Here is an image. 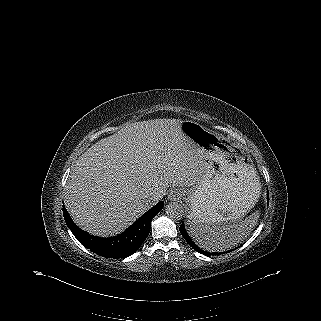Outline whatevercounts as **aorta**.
I'll use <instances>...</instances> for the list:
<instances>
[{"label":"aorta","mask_w":321,"mask_h":321,"mask_svg":"<svg viewBox=\"0 0 321 321\" xmlns=\"http://www.w3.org/2000/svg\"><path fill=\"white\" fill-rule=\"evenodd\" d=\"M165 212L172 219H180L184 215V208L178 202H170L166 206Z\"/></svg>","instance_id":"aorta-1"}]
</instances>
